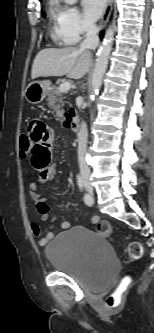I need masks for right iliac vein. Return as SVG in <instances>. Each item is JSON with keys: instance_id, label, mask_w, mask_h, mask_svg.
<instances>
[{"instance_id": "1", "label": "right iliac vein", "mask_w": 154, "mask_h": 333, "mask_svg": "<svg viewBox=\"0 0 154 333\" xmlns=\"http://www.w3.org/2000/svg\"><path fill=\"white\" fill-rule=\"evenodd\" d=\"M83 184H84L85 188L87 189V191L92 194L93 193V188H92L91 183H90V181L87 177L83 178Z\"/></svg>"}]
</instances>
